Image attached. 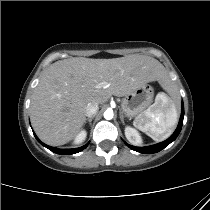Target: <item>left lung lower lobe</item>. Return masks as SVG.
Returning a JSON list of instances; mask_svg holds the SVG:
<instances>
[{
	"label": "left lung lower lobe",
	"instance_id": "left-lung-lower-lobe-1",
	"mask_svg": "<svg viewBox=\"0 0 210 210\" xmlns=\"http://www.w3.org/2000/svg\"><path fill=\"white\" fill-rule=\"evenodd\" d=\"M183 118H184V105L182 103V112H181V117H180L178 127L175 130L174 134L170 138H168L164 142H161V143H158V144H155V145H152V146H148V147H142V148L141 147H134V146H131L129 144H127V146L129 148H131L132 150L140 152V153L151 154V153L159 152L177 138V136L179 135V133L181 131L182 125H183Z\"/></svg>",
	"mask_w": 210,
	"mask_h": 210
}]
</instances>
